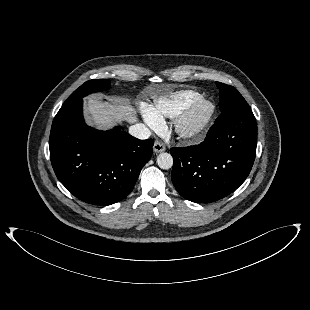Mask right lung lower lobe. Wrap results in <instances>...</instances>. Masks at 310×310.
Segmentation results:
<instances>
[{
  "label": "right lung lower lobe",
  "mask_w": 310,
  "mask_h": 310,
  "mask_svg": "<svg viewBox=\"0 0 310 310\" xmlns=\"http://www.w3.org/2000/svg\"><path fill=\"white\" fill-rule=\"evenodd\" d=\"M153 139L139 140L118 127L99 131L83 119L82 98L64 103L49 138L50 159L59 181L77 198L110 205L133 189L152 156Z\"/></svg>",
  "instance_id": "98d812e1"
}]
</instances>
